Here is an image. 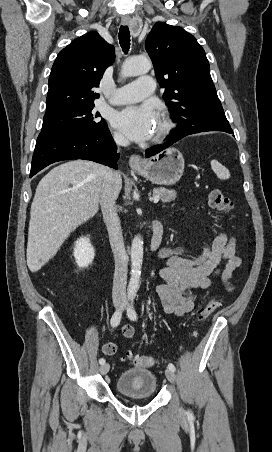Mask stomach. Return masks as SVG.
<instances>
[{
  "label": "stomach",
  "instance_id": "0dacf381",
  "mask_svg": "<svg viewBox=\"0 0 272 452\" xmlns=\"http://www.w3.org/2000/svg\"><path fill=\"white\" fill-rule=\"evenodd\" d=\"M134 170L154 184L173 185L182 177L184 158L179 150L168 148Z\"/></svg>",
  "mask_w": 272,
  "mask_h": 452
}]
</instances>
